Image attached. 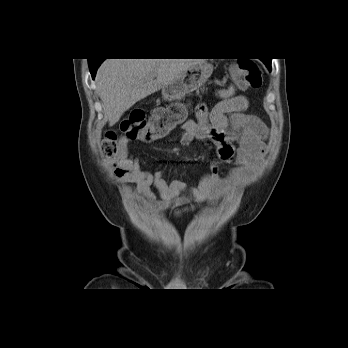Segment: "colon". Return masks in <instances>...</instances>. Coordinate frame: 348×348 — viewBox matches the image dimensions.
Returning <instances> with one entry per match:
<instances>
[{"label": "colon", "mask_w": 348, "mask_h": 348, "mask_svg": "<svg viewBox=\"0 0 348 348\" xmlns=\"http://www.w3.org/2000/svg\"><path fill=\"white\" fill-rule=\"evenodd\" d=\"M233 76L242 88L256 89L261 86L263 73L260 67L249 59H240L232 67ZM186 111L180 104L156 108L148 118L144 109L136 108L129 112L120 125L126 138L133 141L154 142L165 137L175 127L185 122ZM118 135L108 132L101 144L105 158H115L122 150Z\"/></svg>", "instance_id": "obj_1"}]
</instances>
